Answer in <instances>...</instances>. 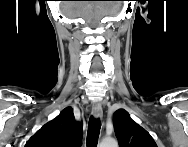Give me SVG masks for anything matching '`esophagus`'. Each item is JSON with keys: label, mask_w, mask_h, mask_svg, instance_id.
Here are the masks:
<instances>
[{"label": "esophagus", "mask_w": 188, "mask_h": 147, "mask_svg": "<svg viewBox=\"0 0 188 147\" xmlns=\"http://www.w3.org/2000/svg\"><path fill=\"white\" fill-rule=\"evenodd\" d=\"M92 115L97 119L103 115L102 106L99 103H95L92 107Z\"/></svg>", "instance_id": "1"}]
</instances>
